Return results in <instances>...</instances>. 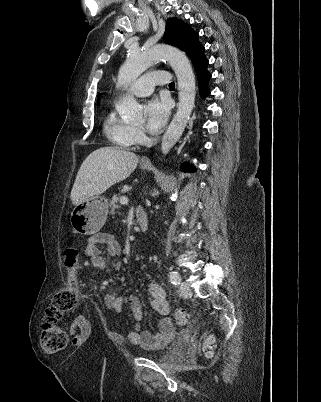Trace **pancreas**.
<instances>
[{
  "label": "pancreas",
  "instance_id": "obj_1",
  "mask_svg": "<svg viewBox=\"0 0 321 402\" xmlns=\"http://www.w3.org/2000/svg\"><path fill=\"white\" fill-rule=\"evenodd\" d=\"M118 200H119V195H113V197H112V199H111V201H110V204H109V206H110V213L111 214H115V211H116V209L118 208V206H117V202H118Z\"/></svg>",
  "mask_w": 321,
  "mask_h": 402
}]
</instances>
